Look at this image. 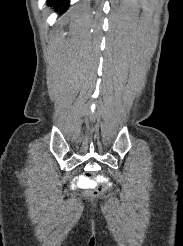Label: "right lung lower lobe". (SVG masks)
<instances>
[{
  "mask_svg": "<svg viewBox=\"0 0 183 246\" xmlns=\"http://www.w3.org/2000/svg\"><path fill=\"white\" fill-rule=\"evenodd\" d=\"M69 0H47L49 6L54 7L56 10L61 11V13L68 10Z\"/></svg>",
  "mask_w": 183,
  "mask_h": 246,
  "instance_id": "obj_1",
  "label": "right lung lower lobe"
}]
</instances>
